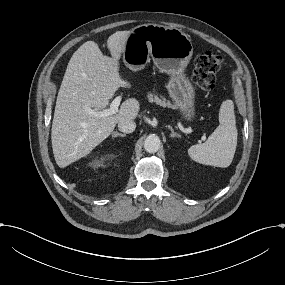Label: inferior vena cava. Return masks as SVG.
Segmentation results:
<instances>
[{
  "instance_id": "inferior-vena-cava-1",
  "label": "inferior vena cava",
  "mask_w": 285,
  "mask_h": 285,
  "mask_svg": "<svg viewBox=\"0 0 285 285\" xmlns=\"http://www.w3.org/2000/svg\"><path fill=\"white\" fill-rule=\"evenodd\" d=\"M118 128L122 132L132 133L136 128V124L133 120L123 119L119 121Z\"/></svg>"
}]
</instances>
